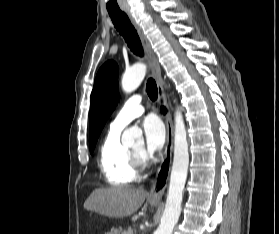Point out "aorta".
I'll return each mask as SVG.
<instances>
[{
    "instance_id": "aorta-1",
    "label": "aorta",
    "mask_w": 279,
    "mask_h": 234,
    "mask_svg": "<svg viewBox=\"0 0 279 234\" xmlns=\"http://www.w3.org/2000/svg\"><path fill=\"white\" fill-rule=\"evenodd\" d=\"M146 74V65L139 63L127 69L122 76V89L130 93L137 89L143 81ZM141 131L136 128H130L124 131L122 135V144L131 146L135 139L141 138ZM189 165V151L187 142V132L185 123L180 110L175 113L174 129V158L170 176L169 190L166 199L165 209L161 218V223L155 234H172L173 228L178 222L183 190L187 178Z\"/></svg>"
}]
</instances>
